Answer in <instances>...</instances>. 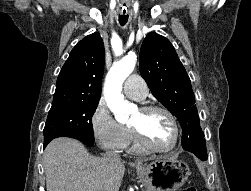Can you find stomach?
<instances>
[{
	"mask_svg": "<svg viewBox=\"0 0 251 191\" xmlns=\"http://www.w3.org/2000/svg\"><path fill=\"white\" fill-rule=\"evenodd\" d=\"M136 169L146 191H176L191 173L185 161L172 155H158L146 167L140 163Z\"/></svg>",
	"mask_w": 251,
	"mask_h": 191,
	"instance_id": "1",
	"label": "stomach"
}]
</instances>
